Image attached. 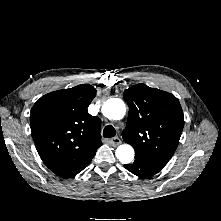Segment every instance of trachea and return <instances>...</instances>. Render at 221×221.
I'll list each match as a JSON object with an SVG mask.
<instances>
[{"instance_id": "1", "label": "trachea", "mask_w": 221, "mask_h": 221, "mask_svg": "<svg viewBox=\"0 0 221 221\" xmlns=\"http://www.w3.org/2000/svg\"><path fill=\"white\" fill-rule=\"evenodd\" d=\"M115 135H116V131H115V129H114V127L112 125H107L104 128L103 137L111 138V137H114Z\"/></svg>"}]
</instances>
